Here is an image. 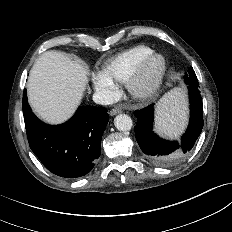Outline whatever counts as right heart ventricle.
Masks as SVG:
<instances>
[{"label":"right heart ventricle","mask_w":232,"mask_h":232,"mask_svg":"<svg viewBox=\"0 0 232 232\" xmlns=\"http://www.w3.org/2000/svg\"><path fill=\"white\" fill-rule=\"evenodd\" d=\"M152 52L147 45H136L109 58L102 72L114 82L125 83L138 63Z\"/></svg>","instance_id":"right-heart-ventricle-1"}]
</instances>
